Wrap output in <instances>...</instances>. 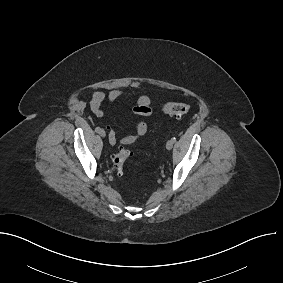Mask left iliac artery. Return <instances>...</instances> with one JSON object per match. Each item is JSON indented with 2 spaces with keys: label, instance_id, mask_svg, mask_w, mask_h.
<instances>
[{
  "label": "left iliac artery",
  "instance_id": "left-iliac-artery-1",
  "mask_svg": "<svg viewBox=\"0 0 283 283\" xmlns=\"http://www.w3.org/2000/svg\"><path fill=\"white\" fill-rule=\"evenodd\" d=\"M172 140L175 142V141H176V138H175V137H173V138H172Z\"/></svg>",
  "mask_w": 283,
  "mask_h": 283
}]
</instances>
